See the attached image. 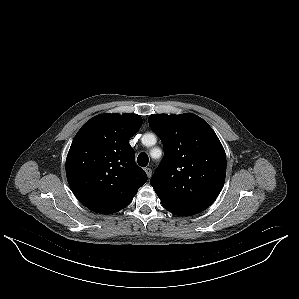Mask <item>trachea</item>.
I'll use <instances>...</instances> for the list:
<instances>
[{"label":"trachea","instance_id":"1","mask_svg":"<svg viewBox=\"0 0 299 299\" xmlns=\"http://www.w3.org/2000/svg\"><path fill=\"white\" fill-rule=\"evenodd\" d=\"M137 162L141 167H146L149 162L148 155L146 153L139 154Z\"/></svg>","mask_w":299,"mask_h":299}]
</instances>
